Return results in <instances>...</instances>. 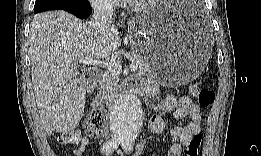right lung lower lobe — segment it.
Segmentation results:
<instances>
[{"label":"right lung lower lobe","instance_id":"right-lung-lower-lobe-1","mask_svg":"<svg viewBox=\"0 0 261 156\" xmlns=\"http://www.w3.org/2000/svg\"><path fill=\"white\" fill-rule=\"evenodd\" d=\"M60 9L72 13L79 18H87L92 12L90 3L87 0H80L79 2H76L73 6Z\"/></svg>","mask_w":261,"mask_h":156}]
</instances>
